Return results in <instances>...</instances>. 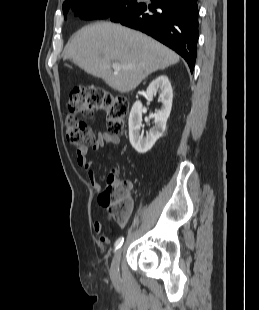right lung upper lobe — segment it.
<instances>
[{
  "label": "right lung upper lobe",
  "mask_w": 259,
  "mask_h": 310,
  "mask_svg": "<svg viewBox=\"0 0 259 310\" xmlns=\"http://www.w3.org/2000/svg\"><path fill=\"white\" fill-rule=\"evenodd\" d=\"M76 1H80V2H82V3H92V2L99 1V0H66V1L63 3V5H64V4H67V3H69V2H76Z\"/></svg>",
  "instance_id": "obj_1"
}]
</instances>
